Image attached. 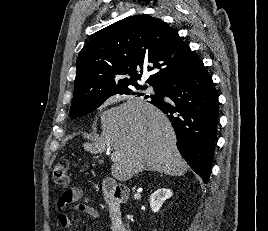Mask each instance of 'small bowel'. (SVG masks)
Segmentation results:
<instances>
[{
	"mask_svg": "<svg viewBox=\"0 0 268 231\" xmlns=\"http://www.w3.org/2000/svg\"><path fill=\"white\" fill-rule=\"evenodd\" d=\"M57 207L59 209L57 222L64 230L72 227L69 211L85 213L93 218H98L99 216L93 200L86 196L80 187H70L65 190L57 201Z\"/></svg>",
	"mask_w": 268,
	"mask_h": 231,
	"instance_id": "obj_1",
	"label": "small bowel"
}]
</instances>
